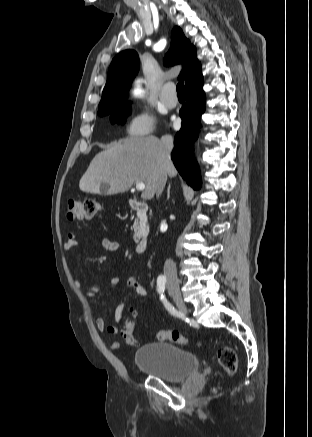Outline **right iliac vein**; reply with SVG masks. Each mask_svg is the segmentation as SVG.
Listing matches in <instances>:
<instances>
[{"label":"right iliac vein","mask_w":312,"mask_h":437,"mask_svg":"<svg viewBox=\"0 0 312 437\" xmlns=\"http://www.w3.org/2000/svg\"><path fill=\"white\" fill-rule=\"evenodd\" d=\"M168 289L178 310L184 314H187L188 312L187 307L182 300L177 282L173 281L172 279H169Z\"/></svg>","instance_id":"1"}]
</instances>
